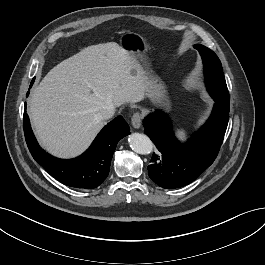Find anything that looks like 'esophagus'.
Wrapping results in <instances>:
<instances>
[{
    "label": "esophagus",
    "instance_id": "esophagus-1",
    "mask_svg": "<svg viewBox=\"0 0 265 265\" xmlns=\"http://www.w3.org/2000/svg\"><path fill=\"white\" fill-rule=\"evenodd\" d=\"M141 122H142L141 114L138 112L134 113L132 118H131V124H132L133 128L139 129L141 126Z\"/></svg>",
    "mask_w": 265,
    "mask_h": 265
}]
</instances>
